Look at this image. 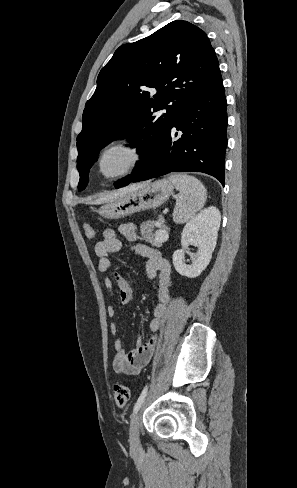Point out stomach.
<instances>
[{
	"label": "stomach",
	"mask_w": 297,
	"mask_h": 488,
	"mask_svg": "<svg viewBox=\"0 0 297 488\" xmlns=\"http://www.w3.org/2000/svg\"><path fill=\"white\" fill-rule=\"evenodd\" d=\"M173 189L174 186L170 180H157L103 204L97 212L106 219L124 218L133 213L160 206L169 198Z\"/></svg>",
	"instance_id": "obj_1"
}]
</instances>
